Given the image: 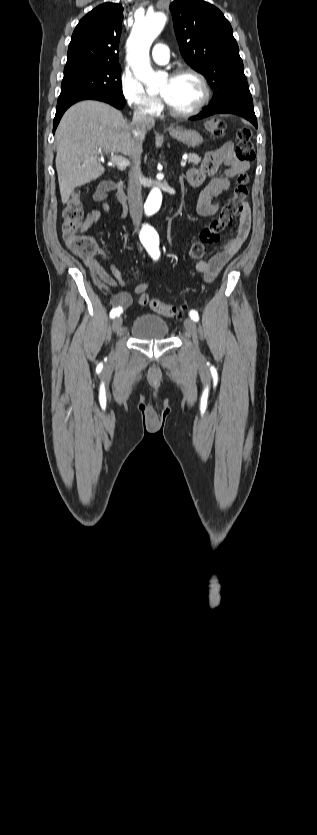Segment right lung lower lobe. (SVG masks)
<instances>
[{
	"instance_id": "98d812e1",
	"label": "right lung lower lobe",
	"mask_w": 317,
	"mask_h": 835,
	"mask_svg": "<svg viewBox=\"0 0 317 835\" xmlns=\"http://www.w3.org/2000/svg\"><path fill=\"white\" fill-rule=\"evenodd\" d=\"M86 99L103 101V102H106V103H109V104L113 105L114 107H116L118 109L123 108L124 105H125L124 97L116 96V95H113V94H110V93L94 94V95H90L88 97L79 98V99H75V100H72V101H69V102H66V103H63V104H59L56 107V115H55V118H54V121H53V133L55 132V129H56L63 113L66 111V109L69 108L72 104H74L78 101H81V100H86Z\"/></svg>"
}]
</instances>
